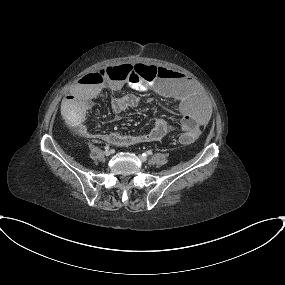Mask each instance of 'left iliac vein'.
<instances>
[{
	"label": "left iliac vein",
	"instance_id": "4c4485c4",
	"mask_svg": "<svg viewBox=\"0 0 285 285\" xmlns=\"http://www.w3.org/2000/svg\"><path fill=\"white\" fill-rule=\"evenodd\" d=\"M138 158L141 162H146L147 161V158L143 155H138Z\"/></svg>",
	"mask_w": 285,
	"mask_h": 285
}]
</instances>
